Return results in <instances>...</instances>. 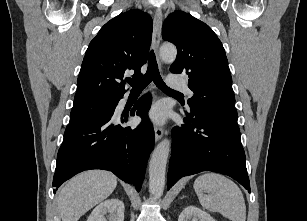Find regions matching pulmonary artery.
<instances>
[{
	"instance_id": "pulmonary-artery-1",
	"label": "pulmonary artery",
	"mask_w": 307,
	"mask_h": 221,
	"mask_svg": "<svg viewBox=\"0 0 307 221\" xmlns=\"http://www.w3.org/2000/svg\"><path fill=\"white\" fill-rule=\"evenodd\" d=\"M168 84L175 89L182 90L188 94H191V90L188 88L187 83L178 79L176 75L168 76Z\"/></svg>"
}]
</instances>
